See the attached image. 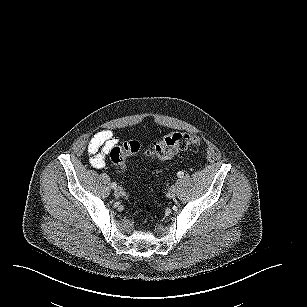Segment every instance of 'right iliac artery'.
<instances>
[{
	"mask_svg": "<svg viewBox=\"0 0 307 307\" xmlns=\"http://www.w3.org/2000/svg\"><path fill=\"white\" fill-rule=\"evenodd\" d=\"M111 187H112L113 189H116L117 184H116L115 182H113V183H111Z\"/></svg>",
	"mask_w": 307,
	"mask_h": 307,
	"instance_id": "obj_1",
	"label": "right iliac artery"
}]
</instances>
